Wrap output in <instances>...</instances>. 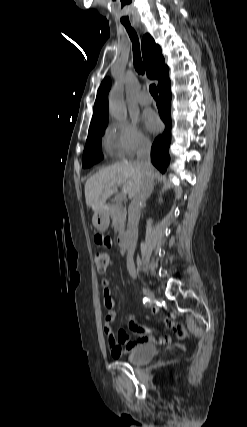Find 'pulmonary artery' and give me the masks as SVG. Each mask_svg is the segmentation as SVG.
<instances>
[{
	"label": "pulmonary artery",
	"mask_w": 247,
	"mask_h": 427,
	"mask_svg": "<svg viewBox=\"0 0 247 427\" xmlns=\"http://www.w3.org/2000/svg\"><path fill=\"white\" fill-rule=\"evenodd\" d=\"M138 101H139L140 105H142V106H148V105H150L152 103V98H151L150 95L143 94V95L140 96V98H139Z\"/></svg>",
	"instance_id": "e3ab8cb5"
}]
</instances>
